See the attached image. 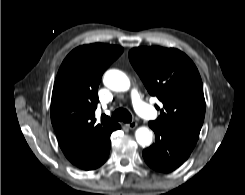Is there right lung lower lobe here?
<instances>
[{"instance_id":"obj_1","label":"right lung lower lobe","mask_w":245,"mask_h":195,"mask_svg":"<svg viewBox=\"0 0 245 195\" xmlns=\"http://www.w3.org/2000/svg\"><path fill=\"white\" fill-rule=\"evenodd\" d=\"M119 128H120V125H119ZM109 151H110V137L106 138L105 141L103 142L102 153L99 159V166H101L107 160Z\"/></svg>"}]
</instances>
